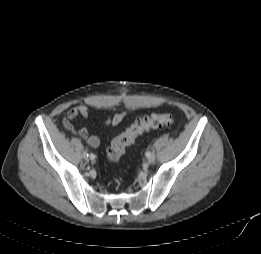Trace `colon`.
Masks as SVG:
<instances>
[{
    "mask_svg": "<svg viewBox=\"0 0 261 254\" xmlns=\"http://www.w3.org/2000/svg\"><path fill=\"white\" fill-rule=\"evenodd\" d=\"M174 117L168 113L151 114L135 120V122L120 136L115 138L107 149V158L110 162L117 164L125 151L142 133L151 129L170 126Z\"/></svg>",
    "mask_w": 261,
    "mask_h": 254,
    "instance_id": "colon-1",
    "label": "colon"
}]
</instances>
